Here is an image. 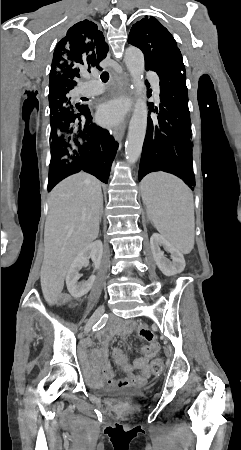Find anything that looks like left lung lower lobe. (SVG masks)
Here are the masks:
<instances>
[{"instance_id":"1","label":"left lung lower lobe","mask_w":241,"mask_h":450,"mask_svg":"<svg viewBox=\"0 0 241 450\" xmlns=\"http://www.w3.org/2000/svg\"><path fill=\"white\" fill-rule=\"evenodd\" d=\"M176 50L179 51L178 48ZM145 68L155 71L160 78L161 103L157 119L148 116L139 181L150 172L165 171L193 187L191 121L183 59H161L154 65H145ZM149 107L154 111L153 103Z\"/></svg>"}]
</instances>
